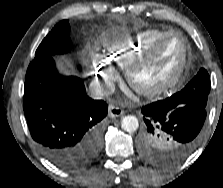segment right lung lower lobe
<instances>
[{
  "instance_id": "1",
  "label": "right lung lower lobe",
  "mask_w": 223,
  "mask_h": 188,
  "mask_svg": "<svg viewBox=\"0 0 223 188\" xmlns=\"http://www.w3.org/2000/svg\"><path fill=\"white\" fill-rule=\"evenodd\" d=\"M23 103L31 136L51 163L74 171L96 157L108 105L89 98L80 78L58 74L52 57L29 64Z\"/></svg>"
}]
</instances>
